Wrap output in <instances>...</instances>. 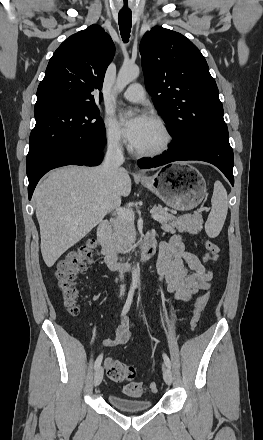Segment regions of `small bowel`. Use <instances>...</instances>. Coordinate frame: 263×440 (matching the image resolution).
I'll return each instance as SVG.
<instances>
[{
  "mask_svg": "<svg viewBox=\"0 0 263 440\" xmlns=\"http://www.w3.org/2000/svg\"><path fill=\"white\" fill-rule=\"evenodd\" d=\"M149 237L156 243L153 234ZM208 260V254L199 258L188 250L182 237L174 235L159 244L156 271L168 292L174 294L178 301L188 302L193 295L210 287L213 272L205 265ZM119 319L120 326L114 337L105 340L107 346L126 344L134 338L131 320L122 314Z\"/></svg>",
  "mask_w": 263,
  "mask_h": 440,
  "instance_id": "1",
  "label": "small bowel"
}]
</instances>
